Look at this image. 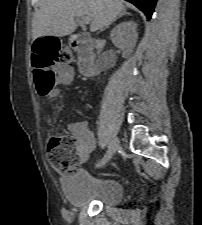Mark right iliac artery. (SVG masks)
Segmentation results:
<instances>
[{
  "instance_id": "82829eb1",
  "label": "right iliac artery",
  "mask_w": 202,
  "mask_h": 225,
  "mask_svg": "<svg viewBox=\"0 0 202 225\" xmlns=\"http://www.w3.org/2000/svg\"><path fill=\"white\" fill-rule=\"evenodd\" d=\"M107 162V156L105 155L99 162L98 164H96V167H101L103 165H105Z\"/></svg>"
}]
</instances>
